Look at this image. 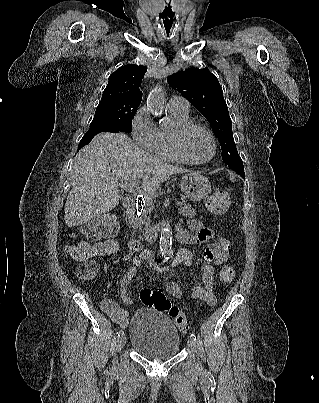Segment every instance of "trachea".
<instances>
[{"label": "trachea", "instance_id": "1", "mask_svg": "<svg viewBox=\"0 0 319 403\" xmlns=\"http://www.w3.org/2000/svg\"><path fill=\"white\" fill-rule=\"evenodd\" d=\"M164 26H165V29H166V31L168 33L170 31L171 27H172V22H168V23L164 24Z\"/></svg>", "mask_w": 319, "mask_h": 403}]
</instances>
